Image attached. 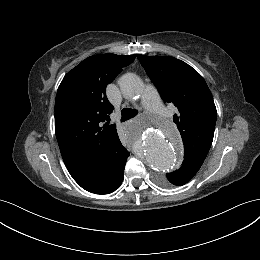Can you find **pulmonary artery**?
<instances>
[{
    "label": "pulmonary artery",
    "instance_id": "obj_1",
    "mask_svg": "<svg viewBox=\"0 0 260 260\" xmlns=\"http://www.w3.org/2000/svg\"><path fill=\"white\" fill-rule=\"evenodd\" d=\"M143 106L152 113L165 114L166 111L152 86H147L142 94Z\"/></svg>",
    "mask_w": 260,
    "mask_h": 260
}]
</instances>
